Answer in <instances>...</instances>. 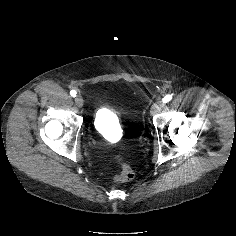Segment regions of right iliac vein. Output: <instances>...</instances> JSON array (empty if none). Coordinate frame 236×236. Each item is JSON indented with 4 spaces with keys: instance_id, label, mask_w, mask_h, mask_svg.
<instances>
[{
    "instance_id": "right-iliac-vein-1",
    "label": "right iliac vein",
    "mask_w": 236,
    "mask_h": 236,
    "mask_svg": "<svg viewBox=\"0 0 236 236\" xmlns=\"http://www.w3.org/2000/svg\"><path fill=\"white\" fill-rule=\"evenodd\" d=\"M75 103H76V105H77L78 107H82L83 104H84V100H83V98H82L80 95H78V96H76V98H75Z\"/></svg>"
}]
</instances>
